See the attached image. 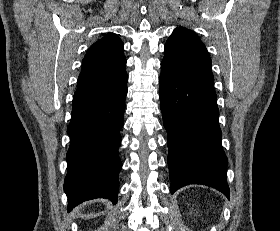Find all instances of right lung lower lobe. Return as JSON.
I'll return each instance as SVG.
<instances>
[{
  "mask_svg": "<svg viewBox=\"0 0 280 231\" xmlns=\"http://www.w3.org/2000/svg\"><path fill=\"white\" fill-rule=\"evenodd\" d=\"M127 85L86 102L73 103L67 128L70 147L64 191L68 212L83 201L105 198L117 202L122 168L121 143Z\"/></svg>",
  "mask_w": 280,
  "mask_h": 231,
  "instance_id": "right-lung-lower-lobe-1",
  "label": "right lung lower lobe"
}]
</instances>
